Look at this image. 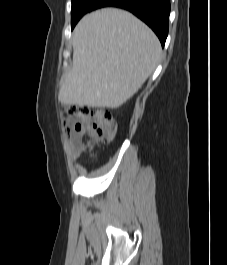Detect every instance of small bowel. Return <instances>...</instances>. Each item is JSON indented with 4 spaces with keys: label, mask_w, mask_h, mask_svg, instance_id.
<instances>
[{
    "label": "small bowel",
    "mask_w": 227,
    "mask_h": 265,
    "mask_svg": "<svg viewBox=\"0 0 227 265\" xmlns=\"http://www.w3.org/2000/svg\"><path fill=\"white\" fill-rule=\"evenodd\" d=\"M71 150L74 157H79L84 151V149L79 146L77 142V137L74 139V141L71 144Z\"/></svg>",
    "instance_id": "obj_1"
}]
</instances>
